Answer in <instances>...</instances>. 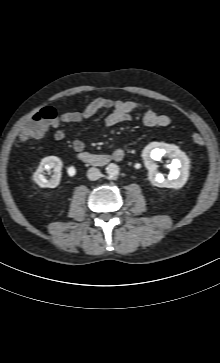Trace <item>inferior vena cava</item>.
<instances>
[{
	"label": "inferior vena cava",
	"mask_w": 220,
	"mask_h": 363,
	"mask_svg": "<svg viewBox=\"0 0 220 363\" xmlns=\"http://www.w3.org/2000/svg\"><path fill=\"white\" fill-rule=\"evenodd\" d=\"M87 177L89 180L95 181L101 177V172L99 169H97L95 167H91L87 171Z\"/></svg>",
	"instance_id": "obj_1"
}]
</instances>
